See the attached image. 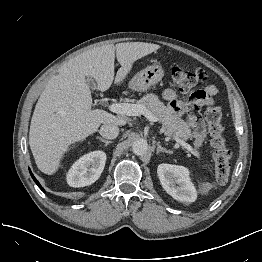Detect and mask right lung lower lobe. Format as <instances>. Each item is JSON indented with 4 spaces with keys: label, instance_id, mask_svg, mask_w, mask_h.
I'll list each match as a JSON object with an SVG mask.
<instances>
[{
    "label": "right lung lower lobe",
    "instance_id": "98d812e1",
    "mask_svg": "<svg viewBox=\"0 0 262 262\" xmlns=\"http://www.w3.org/2000/svg\"><path fill=\"white\" fill-rule=\"evenodd\" d=\"M30 174H31L33 180L35 181V183L41 188V190H43V188L41 187V185L39 184V182L36 180V178L33 176V174L31 173V171H30ZM43 191H44V190H43Z\"/></svg>",
    "mask_w": 262,
    "mask_h": 262
}]
</instances>
